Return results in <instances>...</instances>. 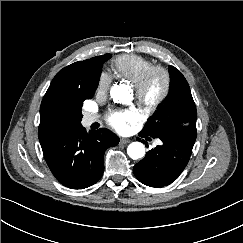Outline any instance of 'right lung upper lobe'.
I'll use <instances>...</instances> for the list:
<instances>
[{
    "instance_id": "right-lung-upper-lobe-1",
    "label": "right lung upper lobe",
    "mask_w": 243,
    "mask_h": 243,
    "mask_svg": "<svg viewBox=\"0 0 243 243\" xmlns=\"http://www.w3.org/2000/svg\"><path fill=\"white\" fill-rule=\"evenodd\" d=\"M104 56L75 62L55 75L40 106L39 131L65 126L70 101L76 96L95 92Z\"/></svg>"
}]
</instances>
